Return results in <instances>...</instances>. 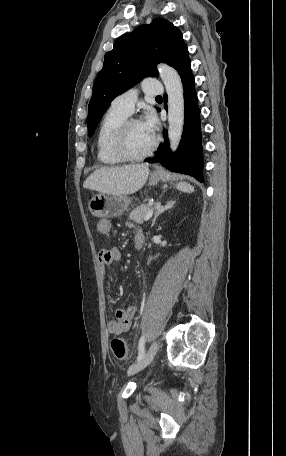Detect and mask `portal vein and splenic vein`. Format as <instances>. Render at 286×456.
I'll use <instances>...</instances> for the list:
<instances>
[{"label": "portal vein and splenic vein", "instance_id": "1", "mask_svg": "<svg viewBox=\"0 0 286 456\" xmlns=\"http://www.w3.org/2000/svg\"><path fill=\"white\" fill-rule=\"evenodd\" d=\"M153 215V209H150V211L147 213L146 217H145V221L149 220Z\"/></svg>", "mask_w": 286, "mask_h": 456}]
</instances>
